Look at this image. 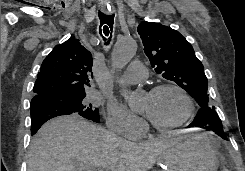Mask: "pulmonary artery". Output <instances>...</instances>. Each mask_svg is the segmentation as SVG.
I'll list each match as a JSON object with an SVG mask.
<instances>
[{"label": "pulmonary artery", "instance_id": "obj_1", "mask_svg": "<svg viewBox=\"0 0 245 171\" xmlns=\"http://www.w3.org/2000/svg\"><path fill=\"white\" fill-rule=\"evenodd\" d=\"M147 69L140 61H133L130 63L127 71L119 79L121 84H133L139 81H143L147 78Z\"/></svg>", "mask_w": 245, "mask_h": 171}]
</instances>
